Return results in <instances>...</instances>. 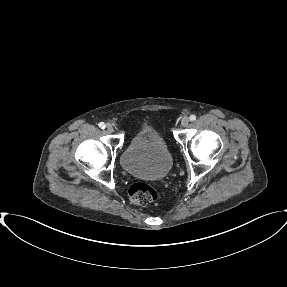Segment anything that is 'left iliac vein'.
Returning a JSON list of instances; mask_svg holds the SVG:
<instances>
[{
  "label": "left iliac vein",
  "mask_w": 287,
  "mask_h": 287,
  "mask_svg": "<svg viewBox=\"0 0 287 287\" xmlns=\"http://www.w3.org/2000/svg\"><path fill=\"white\" fill-rule=\"evenodd\" d=\"M188 124H189V118H188V117H184V118L182 119V121H181V125H182L183 127H187Z\"/></svg>",
  "instance_id": "1"
}]
</instances>
